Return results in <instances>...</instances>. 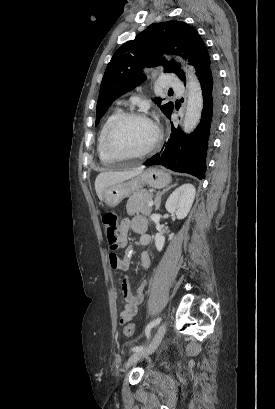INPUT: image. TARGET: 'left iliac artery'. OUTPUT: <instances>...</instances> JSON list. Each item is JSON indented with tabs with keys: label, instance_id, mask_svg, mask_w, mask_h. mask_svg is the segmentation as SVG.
Returning a JSON list of instances; mask_svg holds the SVG:
<instances>
[{
	"label": "left iliac artery",
	"instance_id": "44dca946",
	"mask_svg": "<svg viewBox=\"0 0 275 409\" xmlns=\"http://www.w3.org/2000/svg\"><path fill=\"white\" fill-rule=\"evenodd\" d=\"M160 322H161V317H158V318H156L155 320L151 321V322L146 326L145 334H146V336H147V339L150 338V331H151V329H152L154 326H157ZM144 347H145V346H143V345H141V346H136V347H134L132 350H133V352H137V351H140V350L144 349Z\"/></svg>",
	"mask_w": 275,
	"mask_h": 409
}]
</instances>
